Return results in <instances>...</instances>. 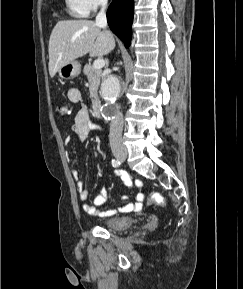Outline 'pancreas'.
Returning a JSON list of instances; mask_svg holds the SVG:
<instances>
[{"label": "pancreas", "instance_id": "obj_1", "mask_svg": "<svg viewBox=\"0 0 243 289\" xmlns=\"http://www.w3.org/2000/svg\"><path fill=\"white\" fill-rule=\"evenodd\" d=\"M84 74L88 78L90 98L94 102L98 100V87L100 85L101 69H95L91 64H86L83 69Z\"/></svg>", "mask_w": 243, "mask_h": 289}]
</instances>
